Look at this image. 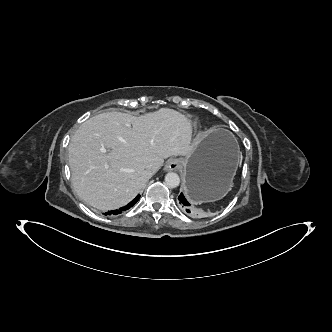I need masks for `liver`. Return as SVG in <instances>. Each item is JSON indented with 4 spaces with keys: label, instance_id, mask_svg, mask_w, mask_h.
Segmentation results:
<instances>
[{
    "label": "liver",
    "instance_id": "liver-1",
    "mask_svg": "<svg viewBox=\"0 0 332 332\" xmlns=\"http://www.w3.org/2000/svg\"><path fill=\"white\" fill-rule=\"evenodd\" d=\"M201 137L192 141L191 121L168 108L140 117L121 112L91 117L69 143L73 189L100 210L125 206L150 179V164L155 173L164 159L190 155Z\"/></svg>",
    "mask_w": 332,
    "mask_h": 332
}]
</instances>
